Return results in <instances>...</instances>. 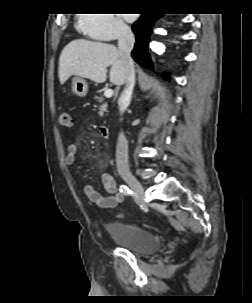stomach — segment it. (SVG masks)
Instances as JSON below:
<instances>
[{"instance_id":"0dacf381","label":"stomach","mask_w":252,"mask_h":303,"mask_svg":"<svg viewBox=\"0 0 252 303\" xmlns=\"http://www.w3.org/2000/svg\"><path fill=\"white\" fill-rule=\"evenodd\" d=\"M72 91L77 96L84 97L88 92V84L81 77L72 78Z\"/></svg>"}]
</instances>
